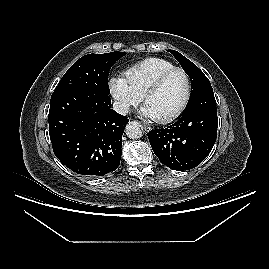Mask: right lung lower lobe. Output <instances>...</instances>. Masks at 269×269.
<instances>
[{
	"label": "right lung lower lobe",
	"instance_id": "98d812e1",
	"mask_svg": "<svg viewBox=\"0 0 269 269\" xmlns=\"http://www.w3.org/2000/svg\"><path fill=\"white\" fill-rule=\"evenodd\" d=\"M111 100L94 90L54 91L49 135L62 164L84 176H103L120 165L126 116L110 108Z\"/></svg>",
	"mask_w": 269,
	"mask_h": 269
}]
</instances>
